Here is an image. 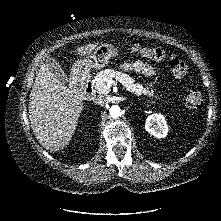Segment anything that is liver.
Masks as SVG:
<instances>
[{
  "instance_id": "obj_1",
  "label": "liver",
  "mask_w": 221,
  "mask_h": 221,
  "mask_svg": "<svg viewBox=\"0 0 221 221\" xmlns=\"http://www.w3.org/2000/svg\"><path fill=\"white\" fill-rule=\"evenodd\" d=\"M98 44L76 49L81 56H89ZM29 120L38 142L50 152H56L71 141L83 110V100L74 89L61 83L47 64L37 72L30 93Z\"/></svg>"
}]
</instances>
